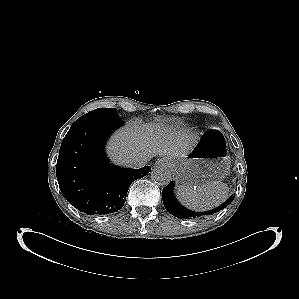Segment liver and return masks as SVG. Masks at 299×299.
<instances>
[{
  "mask_svg": "<svg viewBox=\"0 0 299 299\" xmlns=\"http://www.w3.org/2000/svg\"><path fill=\"white\" fill-rule=\"evenodd\" d=\"M196 138L156 123L128 125L112 137L108 149L114 161L123 165L133 158L155 155L180 160L193 148Z\"/></svg>",
  "mask_w": 299,
  "mask_h": 299,
  "instance_id": "liver-1",
  "label": "liver"
}]
</instances>
